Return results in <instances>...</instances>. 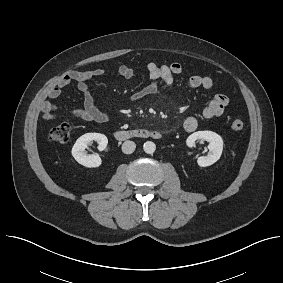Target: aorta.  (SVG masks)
Instances as JSON below:
<instances>
[{"instance_id":"762f6f07","label":"aorta","mask_w":283,"mask_h":283,"mask_svg":"<svg viewBox=\"0 0 283 283\" xmlns=\"http://www.w3.org/2000/svg\"><path fill=\"white\" fill-rule=\"evenodd\" d=\"M143 149H144L145 153L153 154L156 150V145H155V143H153L151 141H147V142L144 143Z\"/></svg>"}]
</instances>
